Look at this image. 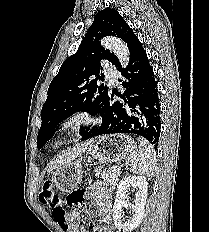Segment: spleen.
Listing matches in <instances>:
<instances>
[{"instance_id": "1", "label": "spleen", "mask_w": 209, "mask_h": 232, "mask_svg": "<svg viewBox=\"0 0 209 232\" xmlns=\"http://www.w3.org/2000/svg\"><path fill=\"white\" fill-rule=\"evenodd\" d=\"M139 141V148L128 157L127 166L134 174L152 177L156 165L155 150L146 139L139 138Z\"/></svg>"}]
</instances>
